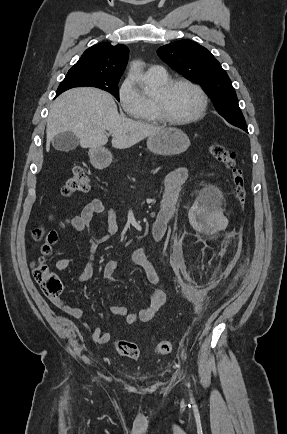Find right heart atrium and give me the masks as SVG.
Segmentation results:
<instances>
[{
    "mask_svg": "<svg viewBox=\"0 0 287 434\" xmlns=\"http://www.w3.org/2000/svg\"><path fill=\"white\" fill-rule=\"evenodd\" d=\"M118 99L123 111L131 116L138 114L144 106V96L132 76H127L119 86Z\"/></svg>",
    "mask_w": 287,
    "mask_h": 434,
    "instance_id": "d8ad5b80",
    "label": "right heart atrium"
}]
</instances>
